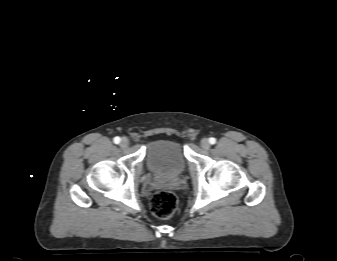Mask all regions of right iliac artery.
<instances>
[{
	"label": "right iliac artery",
	"instance_id": "right-iliac-artery-1",
	"mask_svg": "<svg viewBox=\"0 0 337 261\" xmlns=\"http://www.w3.org/2000/svg\"><path fill=\"white\" fill-rule=\"evenodd\" d=\"M113 141H114L115 144H119L121 139H120V137H115Z\"/></svg>",
	"mask_w": 337,
	"mask_h": 261
}]
</instances>
